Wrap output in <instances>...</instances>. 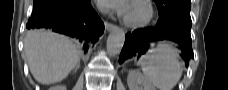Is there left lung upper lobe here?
<instances>
[{"instance_id": "left-lung-upper-lobe-1", "label": "left lung upper lobe", "mask_w": 228, "mask_h": 90, "mask_svg": "<svg viewBox=\"0 0 228 90\" xmlns=\"http://www.w3.org/2000/svg\"><path fill=\"white\" fill-rule=\"evenodd\" d=\"M159 11V15L172 16L185 19V15L190 16V0H154Z\"/></svg>"}]
</instances>
